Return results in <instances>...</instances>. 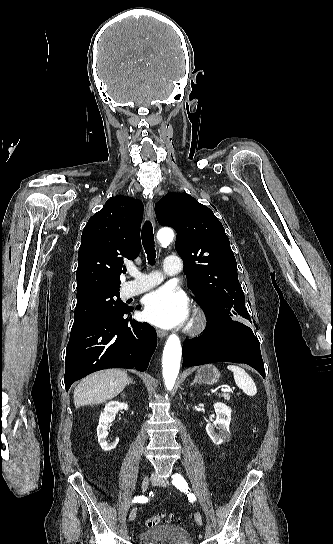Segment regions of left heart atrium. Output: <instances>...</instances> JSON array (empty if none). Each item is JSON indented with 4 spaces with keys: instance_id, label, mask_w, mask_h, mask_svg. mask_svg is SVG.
Returning a JSON list of instances; mask_svg holds the SVG:
<instances>
[{
    "instance_id": "obj_1",
    "label": "left heart atrium",
    "mask_w": 333,
    "mask_h": 544,
    "mask_svg": "<svg viewBox=\"0 0 333 544\" xmlns=\"http://www.w3.org/2000/svg\"><path fill=\"white\" fill-rule=\"evenodd\" d=\"M143 304L144 318L163 328L183 323L189 314L185 294L169 287H162L151 292L144 298Z\"/></svg>"
}]
</instances>
